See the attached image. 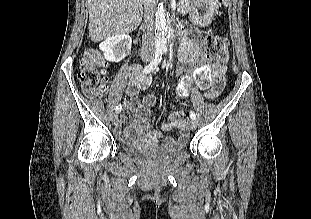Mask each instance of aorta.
I'll use <instances>...</instances> for the list:
<instances>
[{"instance_id":"aorta-1","label":"aorta","mask_w":311,"mask_h":219,"mask_svg":"<svg viewBox=\"0 0 311 219\" xmlns=\"http://www.w3.org/2000/svg\"><path fill=\"white\" fill-rule=\"evenodd\" d=\"M166 33V13L163 3H159L155 12V46L157 49H166Z\"/></svg>"}]
</instances>
